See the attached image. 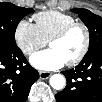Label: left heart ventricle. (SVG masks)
Segmentation results:
<instances>
[{
  "mask_svg": "<svg viewBox=\"0 0 102 102\" xmlns=\"http://www.w3.org/2000/svg\"><path fill=\"white\" fill-rule=\"evenodd\" d=\"M85 43V34L81 28L75 29L62 40L52 42L49 46L55 50L65 62L78 56Z\"/></svg>",
  "mask_w": 102,
  "mask_h": 102,
  "instance_id": "1",
  "label": "left heart ventricle"
}]
</instances>
